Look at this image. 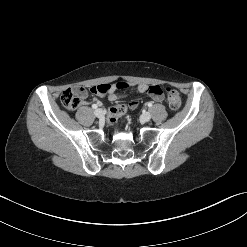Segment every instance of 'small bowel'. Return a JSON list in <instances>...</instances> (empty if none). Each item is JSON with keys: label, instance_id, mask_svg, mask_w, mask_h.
Returning <instances> with one entry per match:
<instances>
[{"label": "small bowel", "instance_id": "c3829d8e", "mask_svg": "<svg viewBox=\"0 0 247 247\" xmlns=\"http://www.w3.org/2000/svg\"><path fill=\"white\" fill-rule=\"evenodd\" d=\"M152 86L154 85H148V84L135 85L134 83H130V82H118L110 86V89L107 92V94L110 101H116L126 96L125 93L118 92V90L136 87L137 92L148 94V91Z\"/></svg>", "mask_w": 247, "mask_h": 247}]
</instances>
